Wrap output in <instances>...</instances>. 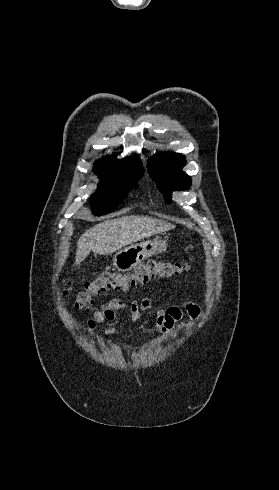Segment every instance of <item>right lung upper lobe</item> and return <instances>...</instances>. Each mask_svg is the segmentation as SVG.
Listing matches in <instances>:
<instances>
[{"label":"right lung upper lobe","instance_id":"1","mask_svg":"<svg viewBox=\"0 0 279 490\" xmlns=\"http://www.w3.org/2000/svg\"><path fill=\"white\" fill-rule=\"evenodd\" d=\"M127 170H143L140 161L134 158L117 159L115 157H106L95 163L94 172L101 179L117 176Z\"/></svg>","mask_w":279,"mask_h":490}]
</instances>
